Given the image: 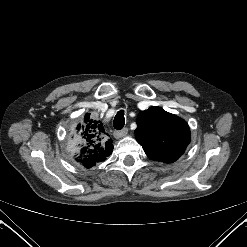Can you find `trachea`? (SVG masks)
<instances>
[{
    "mask_svg": "<svg viewBox=\"0 0 247 247\" xmlns=\"http://www.w3.org/2000/svg\"><path fill=\"white\" fill-rule=\"evenodd\" d=\"M114 128L117 130H120L124 127L125 125V117H124V112L121 110L117 113V115L114 118L113 121Z\"/></svg>",
    "mask_w": 247,
    "mask_h": 247,
    "instance_id": "trachea-1",
    "label": "trachea"
}]
</instances>
